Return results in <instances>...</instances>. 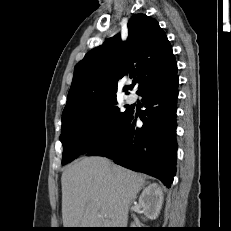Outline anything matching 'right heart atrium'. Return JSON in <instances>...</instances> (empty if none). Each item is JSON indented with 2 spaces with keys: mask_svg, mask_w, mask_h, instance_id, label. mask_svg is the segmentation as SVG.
<instances>
[{
  "mask_svg": "<svg viewBox=\"0 0 231 231\" xmlns=\"http://www.w3.org/2000/svg\"><path fill=\"white\" fill-rule=\"evenodd\" d=\"M107 127L108 124L106 122H99L94 128V132L98 137H100L106 131Z\"/></svg>",
  "mask_w": 231,
  "mask_h": 231,
  "instance_id": "right-heart-atrium-1",
  "label": "right heart atrium"
}]
</instances>
